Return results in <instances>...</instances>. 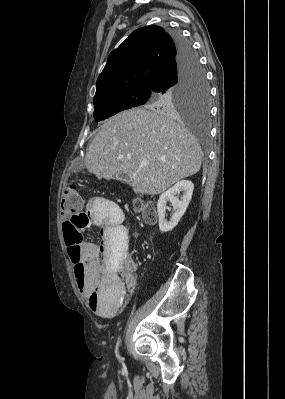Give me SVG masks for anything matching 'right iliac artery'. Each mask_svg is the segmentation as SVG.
I'll return each mask as SVG.
<instances>
[{"mask_svg":"<svg viewBox=\"0 0 285 399\" xmlns=\"http://www.w3.org/2000/svg\"><path fill=\"white\" fill-rule=\"evenodd\" d=\"M119 342H120V336H119V338H118V341H117V344H116V350H115V353H116V356H117V357H119V354H118Z\"/></svg>","mask_w":285,"mask_h":399,"instance_id":"1","label":"right iliac artery"}]
</instances>
